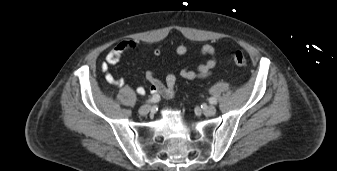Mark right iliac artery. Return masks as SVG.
I'll use <instances>...</instances> for the list:
<instances>
[{"label":"right iliac artery","mask_w":337,"mask_h":171,"mask_svg":"<svg viewBox=\"0 0 337 171\" xmlns=\"http://www.w3.org/2000/svg\"><path fill=\"white\" fill-rule=\"evenodd\" d=\"M159 100H160V97L158 95H153L152 98H150L149 100H147V103L152 104V103L158 102Z\"/></svg>","instance_id":"82829eb1"}]
</instances>
